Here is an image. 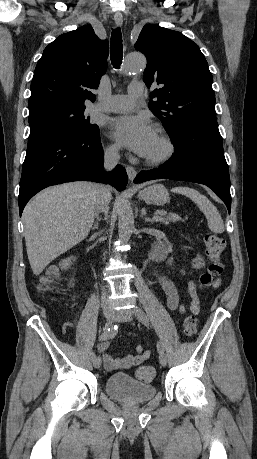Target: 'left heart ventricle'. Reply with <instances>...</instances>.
I'll list each match as a JSON object with an SVG mask.
<instances>
[{"instance_id":"obj_1","label":"left heart ventricle","mask_w":257,"mask_h":459,"mask_svg":"<svg viewBox=\"0 0 257 459\" xmlns=\"http://www.w3.org/2000/svg\"><path fill=\"white\" fill-rule=\"evenodd\" d=\"M165 150V146L160 137L155 133L154 140L146 156L154 157L162 154Z\"/></svg>"}]
</instances>
